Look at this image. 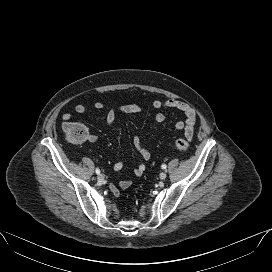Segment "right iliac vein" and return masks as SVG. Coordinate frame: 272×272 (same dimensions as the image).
Listing matches in <instances>:
<instances>
[{
    "instance_id": "63e3f726",
    "label": "right iliac vein",
    "mask_w": 272,
    "mask_h": 272,
    "mask_svg": "<svg viewBox=\"0 0 272 272\" xmlns=\"http://www.w3.org/2000/svg\"><path fill=\"white\" fill-rule=\"evenodd\" d=\"M97 179H98V181H99L100 183H102V182L104 181L105 177H104L103 174H98Z\"/></svg>"
}]
</instances>
